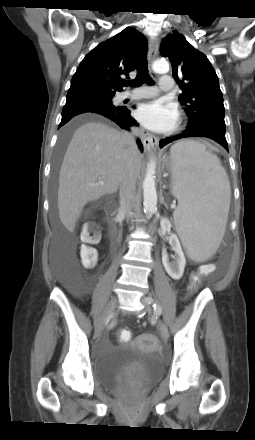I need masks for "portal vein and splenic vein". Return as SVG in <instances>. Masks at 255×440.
I'll list each match as a JSON object with an SVG mask.
<instances>
[{"mask_svg": "<svg viewBox=\"0 0 255 440\" xmlns=\"http://www.w3.org/2000/svg\"><path fill=\"white\" fill-rule=\"evenodd\" d=\"M99 183H100V184H103V181H100Z\"/></svg>", "mask_w": 255, "mask_h": 440, "instance_id": "18ae733b", "label": "portal vein and splenic vein"}]
</instances>
